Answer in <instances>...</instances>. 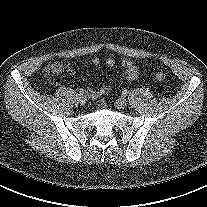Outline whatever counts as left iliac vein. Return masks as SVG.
Here are the masks:
<instances>
[{"label": "left iliac vein", "instance_id": "1", "mask_svg": "<svg viewBox=\"0 0 207 207\" xmlns=\"http://www.w3.org/2000/svg\"><path fill=\"white\" fill-rule=\"evenodd\" d=\"M128 105V102L125 98H120V99H117L115 101V106L118 108V109H123L125 108L126 106Z\"/></svg>", "mask_w": 207, "mask_h": 207}]
</instances>
